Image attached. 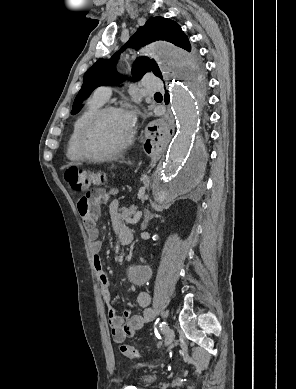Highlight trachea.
<instances>
[{
	"label": "trachea",
	"mask_w": 296,
	"mask_h": 389,
	"mask_svg": "<svg viewBox=\"0 0 296 389\" xmlns=\"http://www.w3.org/2000/svg\"><path fill=\"white\" fill-rule=\"evenodd\" d=\"M156 95H160V93H155Z\"/></svg>",
	"instance_id": "1"
}]
</instances>
